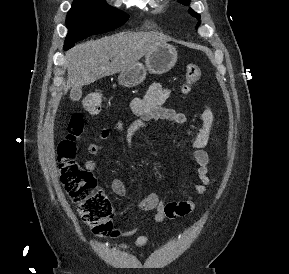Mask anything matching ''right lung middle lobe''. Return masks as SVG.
<instances>
[{"label": "right lung middle lobe", "mask_w": 289, "mask_h": 274, "mask_svg": "<svg viewBox=\"0 0 289 274\" xmlns=\"http://www.w3.org/2000/svg\"><path fill=\"white\" fill-rule=\"evenodd\" d=\"M128 18V14L110 7L105 0H74L66 17L69 31L64 50L88 36L116 29Z\"/></svg>", "instance_id": "1"}]
</instances>
